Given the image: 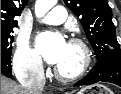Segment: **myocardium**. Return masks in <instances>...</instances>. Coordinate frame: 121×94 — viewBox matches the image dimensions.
Masks as SVG:
<instances>
[{
  "instance_id": "f54148a6",
  "label": "myocardium",
  "mask_w": 121,
  "mask_h": 94,
  "mask_svg": "<svg viewBox=\"0 0 121 94\" xmlns=\"http://www.w3.org/2000/svg\"><path fill=\"white\" fill-rule=\"evenodd\" d=\"M69 44L77 46L80 49L82 53V62L80 67L73 73H64L58 67L54 68L56 78L63 82H72L84 77L92 62L90 48L81 38H71Z\"/></svg>"
}]
</instances>
